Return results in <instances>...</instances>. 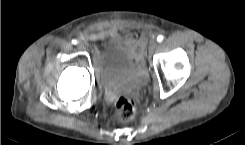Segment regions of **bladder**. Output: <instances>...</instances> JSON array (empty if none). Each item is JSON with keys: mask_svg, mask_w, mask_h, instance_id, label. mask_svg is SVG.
I'll list each match as a JSON object with an SVG mask.
<instances>
[{"mask_svg": "<svg viewBox=\"0 0 245 145\" xmlns=\"http://www.w3.org/2000/svg\"><path fill=\"white\" fill-rule=\"evenodd\" d=\"M93 65L104 89L112 85L131 93L146 85V69L138 46L130 37L108 36L97 50Z\"/></svg>", "mask_w": 245, "mask_h": 145, "instance_id": "31cf9c89", "label": "bladder"}]
</instances>
